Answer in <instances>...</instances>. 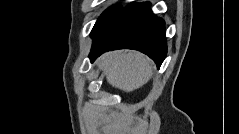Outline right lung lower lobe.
<instances>
[{
  "label": "right lung lower lobe",
  "instance_id": "obj_1",
  "mask_svg": "<svg viewBox=\"0 0 239 134\" xmlns=\"http://www.w3.org/2000/svg\"><path fill=\"white\" fill-rule=\"evenodd\" d=\"M90 58L122 48L139 50L160 67L167 53L165 23L150 3H130L115 12L94 34Z\"/></svg>",
  "mask_w": 239,
  "mask_h": 134
}]
</instances>
